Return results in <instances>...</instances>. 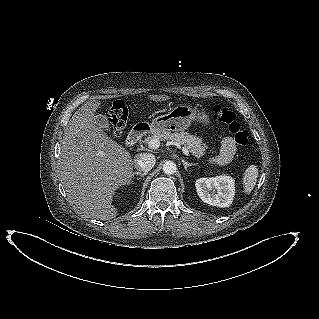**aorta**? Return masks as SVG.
<instances>
[{
	"label": "aorta",
	"instance_id": "1",
	"mask_svg": "<svg viewBox=\"0 0 319 319\" xmlns=\"http://www.w3.org/2000/svg\"><path fill=\"white\" fill-rule=\"evenodd\" d=\"M177 170L176 164L173 161H166L163 164V171L165 174H174Z\"/></svg>",
	"mask_w": 319,
	"mask_h": 319
}]
</instances>
